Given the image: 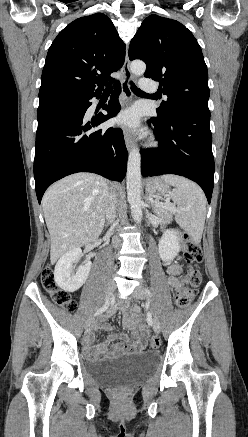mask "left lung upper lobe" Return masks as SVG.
Here are the masks:
<instances>
[{
    "instance_id": "5c2ea615",
    "label": "left lung upper lobe",
    "mask_w": 248,
    "mask_h": 437,
    "mask_svg": "<svg viewBox=\"0 0 248 437\" xmlns=\"http://www.w3.org/2000/svg\"><path fill=\"white\" fill-rule=\"evenodd\" d=\"M129 59L146 63L144 76L167 95L156 110L167 119L181 109H208V71L193 34L180 22L150 15L130 42Z\"/></svg>"
}]
</instances>
